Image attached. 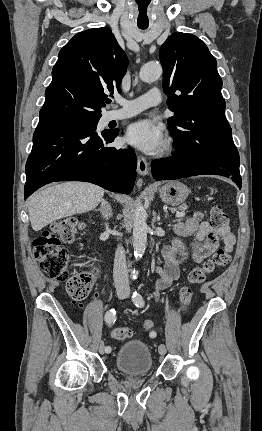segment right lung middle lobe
<instances>
[{"label":"right lung middle lobe","mask_w":262,"mask_h":431,"mask_svg":"<svg viewBox=\"0 0 262 431\" xmlns=\"http://www.w3.org/2000/svg\"><path fill=\"white\" fill-rule=\"evenodd\" d=\"M99 118H87V119H76L84 122L85 124L89 125L90 127L96 128L97 123L99 121Z\"/></svg>","instance_id":"obj_1"}]
</instances>
